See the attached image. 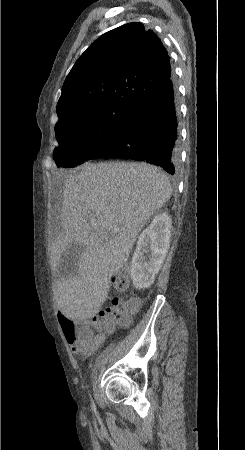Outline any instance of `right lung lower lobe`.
Instances as JSON below:
<instances>
[{
    "label": "right lung lower lobe",
    "instance_id": "obj_1",
    "mask_svg": "<svg viewBox=\"0 0 245 450\" xmlns=\"http://www.w3.org/2000/svg\"><path fill=\"white\" fill-rule=\"evenodd\" d=\"M176 90L172 75L130 113L121 137L89 159L125 158L144 161L174 174L179 163Z\"/></svg>",
    "mask_w": 245,
    "mask_h": 450
}]
</instances>
